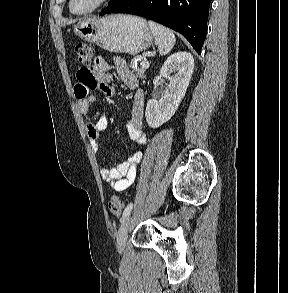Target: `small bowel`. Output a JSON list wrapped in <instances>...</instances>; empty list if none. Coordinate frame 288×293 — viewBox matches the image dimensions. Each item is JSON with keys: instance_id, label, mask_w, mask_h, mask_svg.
I'll return each instance as SVG.
<instances>
[{"instance_id": "c3829d8e", "label": "small bowel", "mask_w": 288, "mask_h": 293, "mask_svg": "<svg viewBox=\"0 0 288 293\" xmlns=\"http://www.w3.org/2000/svg\"><path fill=\"white\" fill-rule=\"evenodd\" d=\"M114 69L123 83L130 89L135 90L134 103L128 121V132L130 139L138 144L144 145L147 136L143 130V113L145 96L139 88L136 76L129 70L126 62L120 57H114L112 63L102 57H97L90 68L81 67L77 72V84L74 92L78 99V107L83 115L89 113V108L95 103L96 97L90 92L100 90L108 97L116 95L115 89L110 85L113 81L111 70ZM107 128V119L104 114H99L95 121L86 123V133L92 147L98 151L100 147L101 133ZM143 152L136 151L128 159L113 167L105 162L101 167L102 179L116 191H124L135 180L137 167L142 159Z\"/></svg>"}]
</instances>
